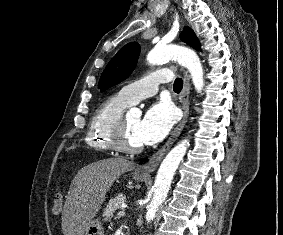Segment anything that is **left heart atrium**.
<instances>
[{"instance_id":"39dd6f15","label":"left heart atrium","mask_w":283,"mask_h":235,"mask_svg":"<svg viewBox=\"0 0 283 235\" xmlns=\"http://www.w3.org/2000/svg\"><path fill=\"white\" fill-rule=\"evenodd\" d=\"M175 122L173 107L165 102H158L150 107L137 126V136L141 144H155L162 140Z\"/></svg>"}]
</instances>
